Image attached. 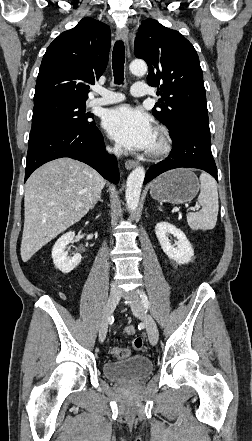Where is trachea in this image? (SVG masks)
Returning a JSON list of instances; mask_svg holds the SVG:
<instances>
[{"instance_id": "trachea-1", "label": "trachea", "mask_w": 252, "mask_h": 441, "mask_svg": "<svg viewBox=\"0 0 252 441\" xmlns=\"http://www.w3.org/2000/svg\"><path fill=\"white\" fill-rule=\"evenodd\" d=\"M125 49L122 40L116 41L112 54V68L114 74V83L123 84L124 81V63H125Z\"/></svg>"}]
</instances>
